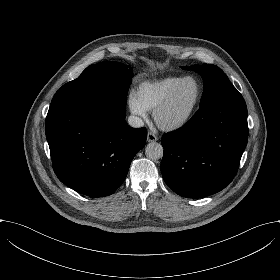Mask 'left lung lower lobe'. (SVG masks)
<instances>
[{
    "label": "left lung lower lobe",
    "instance_id": "left-lung-lower-lobe-1",
    "mask_svg": "<svg viewBox=\"0 0 280 280\" xmlns=\"http://www.w3.org/2000/svg\"><path fill=\"white\" fill-rule=\"evenodd\" d=\"M247 141L242 95L224 96L199 108L181 129L163 135V179L183 197L217 193L234 178Z\"/></svg>",
    "mask_w": 280,
    "mask_h": 280
}]
</instances>
